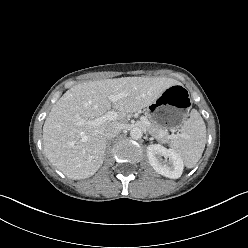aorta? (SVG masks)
<instances>
[{
  "label": "aorta",
  "instance_id": "762f6f07",
  "mask_svg": "<svg viewBox=\"0 0 248 248\" xmlns=\"http://www.w3.org/2000/svg\"><path fill=\"white\" fill-rule=\"evenodd\" d=\"M130 136L132 139L134 140H138L141 139V137L143 136V131L141 128L139 127H135L133 129H131L130 131Z\"/></svg>",
  "mask_w": 248,
  "mask_h": 248
}]
</instances>
